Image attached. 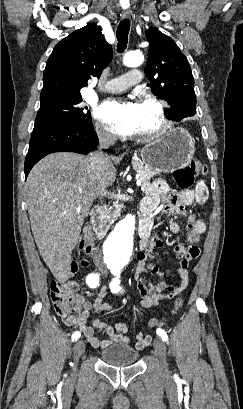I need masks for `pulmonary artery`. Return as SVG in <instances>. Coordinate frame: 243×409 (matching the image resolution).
<instances>
[{
    "label": "pulmonary artery",
    "instance_id": "e3ab8cb5",
    "mask_svg": "<svg viewBox=\"0 0 243 409\" xmlns=\"http://www.w3.org/2000/svg\"><path fill=\"white\" fill-rule=\"evenodd\" d=\"M141 80V72L137 69L131 70L122 76L107 82L104 90L107 92H121L137 84Z\"/></svg>",
    "mask_w": 243,
    "mask_h": 409
}]
</instances>
